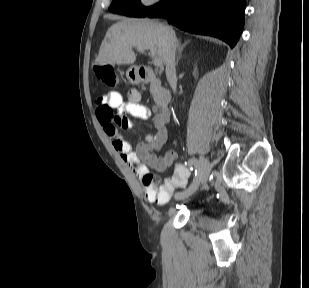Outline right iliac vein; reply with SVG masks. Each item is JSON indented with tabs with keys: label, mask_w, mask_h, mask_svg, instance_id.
Returning a JSON list of instances; mask_svg holds the SVG:
<instances>
[{
	"label": "right iliac vein",
	"mask_w": 309,
	"mask_h": 288,
	"mask_svg": "<svg viewBox=\"0 0 309 288\" xmlns=\"http://www.w3.org/2000/svg\"><path fill=\"white\" fill-rule=\"evenodd\" d=\"M198 161L201 164V169H200L199 183L197 184V187L195 188V190L192 191V193H187V197H181V195H179L177 199L179 200L187 199L192 194H194V192L197 190L200 184L205 186L209 172H210V164H209V161L203 156H200Z\"/></svg>",
	"instance_id": "right-iliac-vein-1"
}]
</instances>
